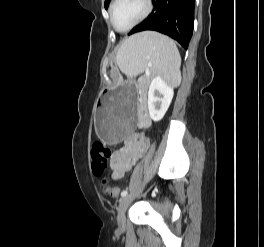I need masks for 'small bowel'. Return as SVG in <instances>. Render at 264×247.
I'll return each mask as SVG.
<instances>
[{"label":"small bowel","instance_id":"small-bowel-1","mask_svg":"<svg viewBox=\"0 0 264 247\" xmlns=\"http://www.w3.org/2000/svg\"><path fill=\"white\" fill-rule=\"evenodd\" d=\"M150 125V119L142 113L139 116V127L146 128ZM149 141L143 131H135L129 134L122 145L112 154L110 168L115 180L123 178L130 171L137 160L145 153Z\"/></svg>","mask_w":264,"mask_h":247}]
</instances>
